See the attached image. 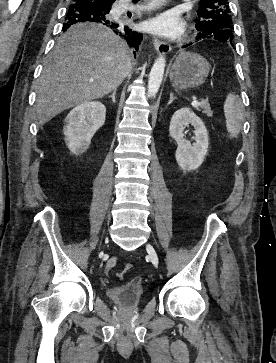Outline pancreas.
I'll return each instance as SVG.
<instances>
[{
	"mask_svg": "<svg viewBox=\"0 0 276 363\" xmlns=\"http://www.w3.org/2000/svg\"><path fill=\"white\" fill-rule=\"evenodd\" d=\"M201 105L196 107V109L198 111L202 110L203 114H206L208 117H212L213 116V112L211 111V107L210 104L208 103V101L203 100L200 103Z\"/></svg>",
	"mask_w": 276,
	"mask_h": 363,
	"instance_id": "cf45deb5",
	"label": "pancreas"
}]
</instances>
